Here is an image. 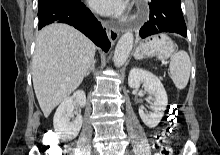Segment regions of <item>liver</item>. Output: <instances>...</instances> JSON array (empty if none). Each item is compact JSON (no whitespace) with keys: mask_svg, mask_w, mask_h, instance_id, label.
<instances>
[{"mask_svg":"<svg viewBox=\"0 0 220 155\" xmlns=\"http://www.w3.org/2000/svg\"><path fill=\"white\" fill-rule=\"evenodd\" d=\"M95 50L91 40L67 24H51L39 32L32 80L46 118L82 83Z\"/></svg>","mask_w":220,"mask_h":155,"instance_id":"obj_1","label":"liver"}]
</instances>
